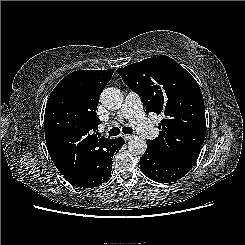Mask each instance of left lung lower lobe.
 Segmentation results:
<instances>
[{
  "mask_svg": "<svg viewBox=\"0 0 245 245\" xmlns=\"http://www.w3.org/2000/svg\"><path fill=\"white\" fill-rule=\"evenodd\" d=\"M197 159L168 156L147 144V149L140 159L142 172L151 180L159 183L175 182L186 175Z\"/></svg>",
  "mask_w": 245,
  "mask_h": 245,
  "instance_id": "obj_1",
  "label": "left lung lower lobe"
}]
</instances>
